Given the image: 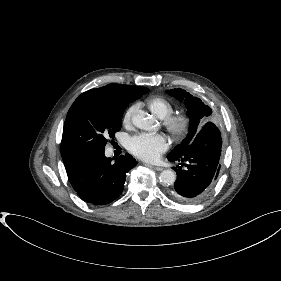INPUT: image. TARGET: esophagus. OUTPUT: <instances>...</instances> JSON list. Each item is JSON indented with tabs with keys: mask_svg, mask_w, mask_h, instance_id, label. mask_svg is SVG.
<instances>
[{
	"mask_svg": "<svg viewBox=\"0 0 281 281\" xmlns=\"http://www.w3.org/2000/svg\"><path fill=\"white\" fill-rule=\"evenodd\" d=\"M154 170H157V171H162L163 170V167H160V166H151Z\"/></svg>",
	"mask_w": 281,
	"mask_h": 281,
	"instance_id": "34e87169",
	"label": "esophagus"
}]
</instances>
